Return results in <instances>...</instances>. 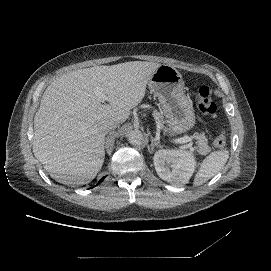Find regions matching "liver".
<instances>
[{
    "label": "liver",
    "instance_id": "6515ba94",
    "mask_svg": "<svg viewBox=\"0 0 271 271\" xmlns=\"http://www.w3.org/2000/svg\"><path fill=\"white\" fill-rule=\"evenodd\" d=\"M161 64L132 61L68 72L44 91L34 117V156L59 183L83 185L101 170L108 120L125 122ZM106 95L100 101V95Z\"/></svg>",
    "mask_w": 271,
    "mask_h": 271
}]
</instances>
